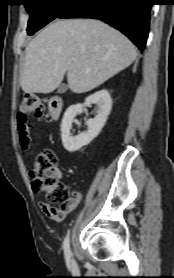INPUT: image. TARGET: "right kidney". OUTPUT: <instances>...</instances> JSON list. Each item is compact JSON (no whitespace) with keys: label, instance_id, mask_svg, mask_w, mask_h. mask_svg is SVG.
<instances>
[{"label":"right kidney","instance_id":"1","mask_svg":"<svg viewBox=\"0 0 174 278\" xmlns=\"http://www.w3.org/2000/svg\"><path fill=\"white\" fill-rule=\"evenodd\" d=\"M91 104H97L99 110L94 119L87 121L88 130L82 132L77 136H72L70 131L72 129V123L77 114L82 113L84 106H90ZM112 99L107 90L102 89L88 96L84 104H76L68 107L64 113L61 124V139L64 148L68 152H75L81 149L83 146L88 145L94 138L98 136L102 128L104 127L107 117L111 111Z\"/></svg>","mask_w":174,"mask_h":278}]
</instances>
